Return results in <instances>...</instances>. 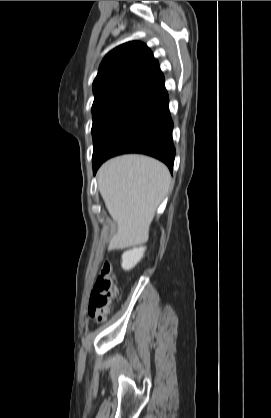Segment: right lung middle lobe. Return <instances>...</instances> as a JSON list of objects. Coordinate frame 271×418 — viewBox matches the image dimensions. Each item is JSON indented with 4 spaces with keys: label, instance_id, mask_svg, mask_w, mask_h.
<instances>
[{
    "label": "right lung middle lobe",
    "instance_id": "1",
    "mask_svg": "<svg viewBox=\"0 0 271 418\" xmlns=\"http://www.w3.org/2000/svg\"><path fill=\"white\" fill-rule=\"evenodd\" d=\"M152 105L135 98H116L93 104V161L120 130Z\"/></svg>",
    "mask_w": 271,
    "mask_h": 418
}]
</instances>
